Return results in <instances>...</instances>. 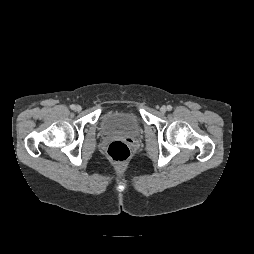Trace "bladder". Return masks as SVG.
<instances>
[{
	"label": "bladder",
	"instance_id": "bladder-1",
	"mask_svg": "<svg viewBox=\"0 0 254 254\" xmlns=\"http://www.w3.org/2000/svg\"><path fill=\"white\" fill-rule=\"evenodd\" d=\"M100 128L107 136L137 138L142 133L141 122L131 111L114 110L105 113L100 120Z\"/></svg>",
	"mask_w": 254,
	"mask_h": 254
}]
</instances>
